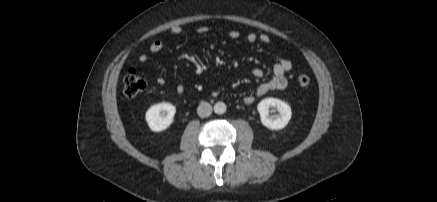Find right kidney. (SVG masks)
<instances>
[{
	"mask_svg": "<svg viewBox=\"0 0 437 202\" xmlns=\"http://www.w3.org/2000/svg\"><path fill=\"white\" fill-rule=\"evenodd\" d=\"M175 112V106L162 102L151 106L145 114V119L152 131L161 132L172 124Z\"/></svg>",
	"mask_w": 437,
	"mask_h": 202,
	"instance_id": "1",
	"label": "right kidney"
}]
</instances>
